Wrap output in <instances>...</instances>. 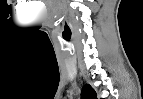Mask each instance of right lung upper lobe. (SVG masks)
<instances>
[{
    "label": "right lung upper lobe",
    "mask_w": 143,
    "mask_h": 99,
    "mask_svg": "<svg viewBox=\"0 0 143 99\" xmlns=\"http://www.w3.org/2000/svg\"><path fill=\"white\" fill-rule=\"evenodd\" d=\"M82 99H97L95 90L89 85H84L81 92Z\"/></svg>",
    "instance_id": "obj_1"
}]
</instances>
